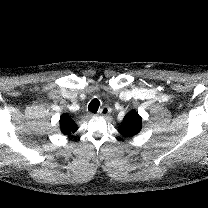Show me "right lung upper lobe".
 I'll return each mask as SVG.
<instances>
[{"label": "right lung upper lobe", "mask_w": 208, "mask_h": 208, "mask_svg": "<svg viewBox=\"0 0 208 208\" xmlns=\"http://www.w3.org/2000/svg\"><path fill=\"white\" fill-rule=\"evenodd\" d=\"M59 122H60L61 132L64 135L71 136V134L74 133L78 129L76 123L67 114H63L60 117Z\"/></svg>", "instance_id": "right-lung-upper-lobe-1"}]
</instances>
